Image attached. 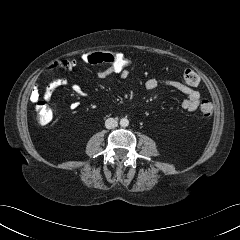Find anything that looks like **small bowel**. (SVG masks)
Instances as JSON below:
<instances>
[{"label": "small bowel", "instance_id": "small-bowel-1", "mask_svg": "<svg viewBox=\"0 0 240 240\" xmlns=\"http://www.w3.org/2000/svg\"><path fill=\"white\" fill-rule=\"evenodd\" d=\"M77 65H78V61L76 59H73V58L72 59H62V60L54 61L50 65L49 68H50V70L71 71L74 68H76ZM112 74H119V76L122 79H126L128 77L127 71L115 72L108 66H102V68L98 72V76L100 78H105ZM68 83L69 82L66 77H59V78L55 79L54 81H52L44 89L42 94H40L37 87H34L31 92L30 99L32 102H36L42 96V98L45 101H49L52 98V95L57 88L62 87V86H67ZM159 86H166V87L174 88V89L179 90L180 92L184 93L186 95V98L182 101L181 108L185 111H189V112L194 111L200 105L201 99H200L199 92L194 87L186 86L177 79L170 78V79H166L162 82H159L155 78H149L145 82V87L147 90H155ZM71 88L77 95L85 96V92L79 85L73 84ZM70 107H71V109H76L78 107V102L71 103Z\"/></svg>", "mask_w": 240, "mask_h": 240}]
</instances>
